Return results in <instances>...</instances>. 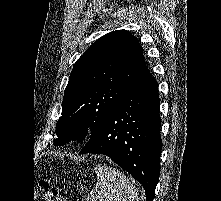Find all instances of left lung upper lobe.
<instances>
[{
  "label": "left lung upper lobe",
  "instance_id": "obj_1",
  "mask_svg": "<svg viewBox=\"0 0 221 201\" xmlns=\"http://www.w3.org/2000/svg\"><path fill=\"white\" fill-rule=\"evenodd\" d=\"M151 76L131 33L116 30L98 39L71 71L54 145L83 141L88 129L93 135L114 106Z\"/></svg>",
  "mask_w": 221,
  "mask_h": 201
}]
</instances>
